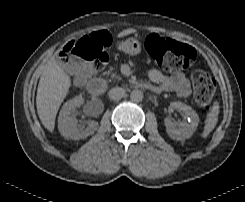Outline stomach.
<instances>
[{
    "mask_svg": "<svg viewBox=\"0 0 245 202\" xmlns=\"http://www.w3.org/2000/svg\"><path fill=\"white\" fill-rule=\"evenodd\" d=\"M117 48L128 55L134 56L141 52V43L136 38H128L121 42Z\"/></svg>",
    "mask_w": 245,
    "mask_h": 202,
    "instance_id": "stomach-1",
    "label": "stomach"
}]
</instances>
